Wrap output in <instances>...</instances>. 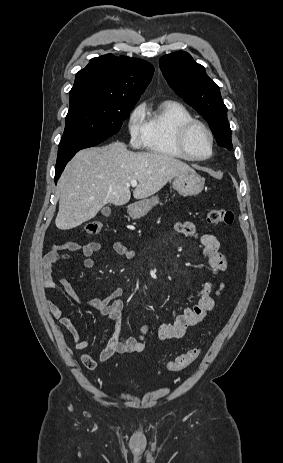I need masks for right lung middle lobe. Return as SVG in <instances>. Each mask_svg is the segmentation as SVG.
Returning a JSON list of instances; mask_svg holds the SVG:
<instances>
[{
    "label": "right lung middle lobe",
    "instance_id": "1",
    "mask_svg": "<svg viewBox=\"0 0 283 463\" xmlns=\"http://www.w3.org/2000/svg\"><path fill=\"white\" fill-rule=\"evenodd\" d=\"M70 95V109L59 149L104 141L116 134L137 101L115 97H95L84 93Z\"/></svg>",
    "mask_w": 283,
    "mask_h": 463
}]
</instances>
